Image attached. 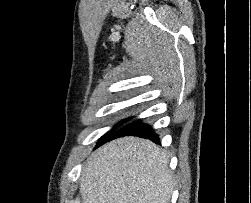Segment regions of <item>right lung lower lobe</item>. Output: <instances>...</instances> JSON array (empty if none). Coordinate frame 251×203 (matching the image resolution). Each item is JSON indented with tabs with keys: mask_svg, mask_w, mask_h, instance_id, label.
<instances>
[{
	"mask_svg": "<svg viewBox=\"0 0 251 203\" xmlns=\"http://www.w3.org/2000/svg\"><path fill=\"white\" fill-rule=\"evenodd\" d=\"M131 135L138 136L141 138H147L155 143L159 142L158 135L154 133L153 129L149 125L143 124L140 121H136L134 123L128 124L127 126L114 132L107 141L113 140L115 138L123 137V136H131Z\"/></svg>",
	"mask_w": 251,
	"mask_h": 203,
	"instance_id": "1",
	"label": "right lung lower lobe"
}]
</instances>
